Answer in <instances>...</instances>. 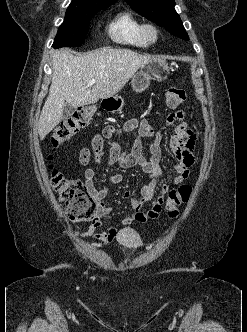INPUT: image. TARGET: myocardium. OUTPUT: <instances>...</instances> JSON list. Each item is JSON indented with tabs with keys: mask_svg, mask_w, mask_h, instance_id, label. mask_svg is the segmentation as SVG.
I'll return each mask as SVG.
<instances>
[{
	"mask_svg": "<svg viewBox=\"0 0 247 332\" xmlns=\"http://www.w3.org/2000/svg\"><path fill=\"white\" fill-rule=\"evenodd\" d=\"M142 35L148 43L156 42L159 38V29L156 25L151 23L143 24Z\"/></svg>",
	"mask_w": 247,
	"mask_h": 332,
	"instance_id": "myocardium-1",
	"label": "myocardium"
}]
</instances>
